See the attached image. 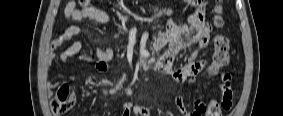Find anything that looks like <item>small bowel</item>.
<instances>
[{"label": "small bowel", "mask_w": 283, "mask_h": 116, "mask_svg": "<svg viewBox=\"0 0 283 116\" xmlns=\"http://www.w3.org/2000/svg\"><path fill=\"white\" fill-rule=\"evenodd\" d=\"M189 3L203 2L196 0H189ZM65 15L74 20H92L100 24L108 23L111 19V13L100 10L96 7L90 6L79 9L75 2H69L65 8ZM210 26L206 20L204 8L201 5L196 6L195 12L188 18L186 24L182 26L175 25L172 21L166 22V31L161 36V41L165 43H175L179 46H186L192 42L198 43L199 50L203 49L210 39ZM82 36V29L77 25L68 26L59 38L51 43V51L59 49L64 43H68V46L61 51L60 61L63 64H67L69 59L77 55L83 48L82 40L79 38ZM74 38H78L74 40ZM98 56L100 62L97 64V69L100 72L107 70L106 61L112 58V52L110 50H98ZM199 51L195 52L189 62L178 69H173L172 56L165 54L156 63V69L160 72L172 74L174 79L180 84H194L200 77L203 69L206 66V60L198 59ZM83 61H89L88 57H83ZM221 92L222 101L231 99V80L229 83L221 77ZM176 104L178 110L183 116H212L210 115L209 105L203 103L200 94H197L194 100V109L188 111L183 104V99L179 94L176 98ZM123 116H151L152 112L141 105H134L131 102H125L122 105Z\"/></svg>", "instance_id": "obj_1"}]
</instances>
